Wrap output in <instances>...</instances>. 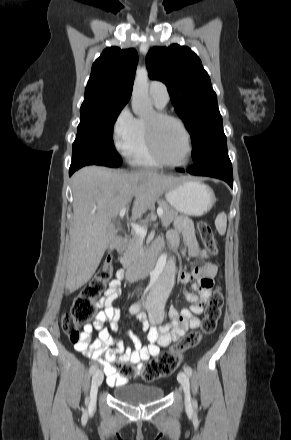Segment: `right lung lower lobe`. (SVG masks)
<instances>
[{
	"label": "right lung lower lobe",
	"instance_id": "obj_1",
	"mask_svg": "<svg viewBox=\"0 0 291 440\" xmlns=\"http://www.w3.org/2000/svg\"><path fill=\"white\" fill-rule=\"evenodd\" d=\"M101 165L98 164L94 161L88 160V159H78V160H73L69 169V175L71 176L76 170H78L79 168L86 166V165Z\"/></svg>",
	"mask_w": 291,
	"mask_h": 440
}]
</instances>
